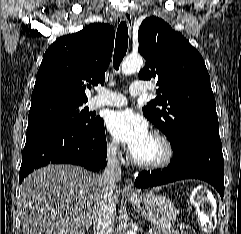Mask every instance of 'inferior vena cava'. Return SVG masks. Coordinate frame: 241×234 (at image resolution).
I'll use <instances>...</instances> for the list:
<instances>
[{
	"instance_id": "1",
	"label": "inferior vena cava",
	"mask_w": 241,
	"mask_h": 234,
	"mask_svg": "<svg viewBox=\"0 0 241 234\" xmlns=\"http://www.w3.org/2000/svg\"><path fill=\"white\" fill-rule=\"evenodd\" d=\"M117 144L108 146L107 165L100 175V182L103 186V200L99 210L93 219L94 234H111L116 217L114 202V191L117 182L121 179V167L116 157Z\"/></svg>"
}]
</instances>
